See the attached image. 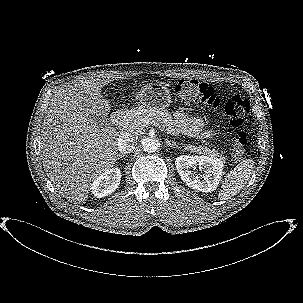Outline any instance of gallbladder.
Here are the masks:
<instances>
[{
	"instance_id": "bac80fb5",
	"label": "gallbladder",
	"mask_w": 303,
	"mask_h": 303,
	"mask_svg": "<svg viewBox=\"0 0 303 303\" xmlns=\"http://www.w3.org/2000/svg\"><path fill=\"white\" fill-rule=\"evenodd\" d=\"M93 120L98 124V125H102L104 124L106 117L105 116H95L93 117Z\"/></svg>"
}]
</instances>
